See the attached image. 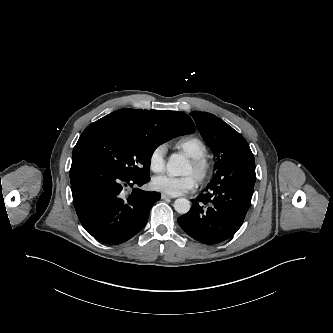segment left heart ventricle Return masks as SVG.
<instances>
[{"label": "left heart ventricle", "mask_w": 333, "mask_h": 333, "mask_svg": "<svg viewBox=\"0 0 333 333\" xmlns=\"http://www.w3.org/2000/svg\"><path fill=\"white\" fill-rule=\"evenodd\" d=\"M184 174H192L195 176L194 168L190 162L188 163L187 167L185 168Z\"/></svg>", "instance_id": "1"}]
</instances>
